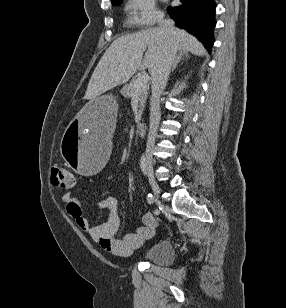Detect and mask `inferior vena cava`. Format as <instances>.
Instances as JSON below:
<instances>
[{"label": "inferior vena cava", "mask_w": 286, "mask_h": 308, "mask_svg": "<svg viewBox=\"0 0 286 308\" xmlns=\"http://www.w3.org/2000/svg\"><path fill=\"white\" fill-rule=\"evenodd\" d=\"M161 29L165 30L169 36L166 42L163 55L156 64L152 72V97L150 102V128L147 139L148 159L151 158L150 150L153 148L157 136V130L160 122V97L166 87L171 67L174 63L177 53V46L173 39L175 32L172 20H166L163 17L158 20Z\"/></svg>", "instance_id": "1"}]
</instances>
